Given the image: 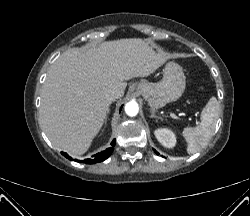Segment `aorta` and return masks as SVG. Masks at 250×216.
I'll return each instance as SVG.
<instances>
[{
	"instance_id": "obj_1",
	"label": "aorta",
	"mask_w": 250,
	"mask_h": 216,
	"mask_svg": "<svg viewBox=\"0 0 250 216\" xmlns=\"http://www.w3.org/2000/svg\"><path fill=\"white\" fill-rule=\"evenodd\" d=\"M125 112L128 116H136L139 112V106L135 101L128 102L125 105Z\"/></svg>"
}]
</instances>
